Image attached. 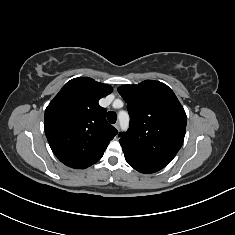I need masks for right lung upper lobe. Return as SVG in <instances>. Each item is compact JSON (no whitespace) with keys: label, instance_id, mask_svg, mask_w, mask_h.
I'll return each instance as SVG.
<instances>
[{"label":"right lung upper lobe","instance_id":"1","mask_svg":"<svg viewBox=\"0 0 235 235\" xmlns=\"http://www.w3.org/2000/svg\"><path fill=\"white\" fill-rule=\"evenodd\" d=\"M89 77L68 81L45 110V134L66 166L87 168L99 161L118 131L106 121L98 101L112 92Z\"/></svg>","mask_w":235,"mask_h":235}]
</instances>
